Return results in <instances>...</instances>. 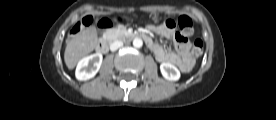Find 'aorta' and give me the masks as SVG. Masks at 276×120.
<instances>
[{
  "mask_svg": "<svg viewBox=\"0 0 276 120\" xmlns=\"http://www.w3.org/2000/svg\"><path fill=\"white\" fill-rule=\"evenodd\" d=\"M142 45H143L142 39H140V38H135V39L133 40V46H134L135 48H141Z\"/></svg>",
  "mask_w": 276,
  "mask_h": 120,
  "instance_id": "762f6f07",
  "label": "aorta"
}]
</instances>
